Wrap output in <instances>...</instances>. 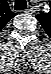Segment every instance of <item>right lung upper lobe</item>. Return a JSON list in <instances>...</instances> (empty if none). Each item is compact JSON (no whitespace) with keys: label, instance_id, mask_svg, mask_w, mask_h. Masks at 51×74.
<instances>
[{"label":"right lung upper lobe","instance_id":"obj_1","mask_svg":"<svg viewBox=\"0 0 51 74\" xmlns=\"http://www.w3.org/2000/svg\"><path fill=\"white\" fill-rule=\"evenodd\" d=\"M4 15H5V17H4L5 21H4V23H3V26H5V24H6L11 18H13L16 14L13 13V12L9 9L8 6H6L5 14H4Z\"/></svg>","mask_w":51,"mask_h":74}]
</instances>
